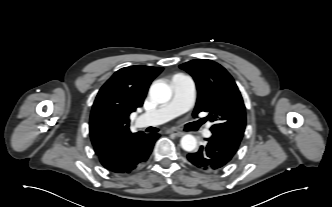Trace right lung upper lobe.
<instances>
[{
  "instance_id": "obj_1",
  "label": "right lung upper lobe",
  "mask_w": 332,
  "mask_h": 207,
  "mask_svg": "<svg viewBox=\"0 0 332 207\" xmlns=\"http://www.w3.org/2000/svg\"><path fill=\"white\" fill-rule=\"evenodd\" d=\"M162 67L130 66L101 87L90 116V137L98 156L113 152L139 133L130 131V113L143 105L152 80Z\"/></svg>"
}]
</instances>
